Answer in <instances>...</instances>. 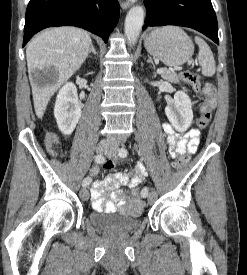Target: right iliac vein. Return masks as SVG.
Returning <instances> with one entry per match:
<instances>
[{
    "mask_svg": "<svg viewBox=\"0 0 247 275\" xmlns=\"http://www.w3.org/2000/svg\"><path fill=\"white\" fill-rule=\"evenodd\" d=\"M109 150V142L106 140H102L98 143L97 147H96V151L99 154H103L108 152ZM80 197L86 201L89 198V191L86 188V186H83V188L80 190Z\"/></svg>",
    "mask_w": 247,
    "mask_h": 275,
    "instance_id": "right-iliac-vein-1",
    "label": "right iliac vein"
}]
</instances>
